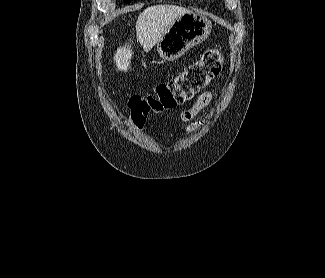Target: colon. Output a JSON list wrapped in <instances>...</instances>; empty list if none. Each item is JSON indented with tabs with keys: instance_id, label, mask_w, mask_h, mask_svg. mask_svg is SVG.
Instances as JSON below:
<instances>
[{
	"instance_id": "1",
	"label": "colon",
	"mask_w": 325,
	"mask_h": 278,
	"mask_svg": "<svg viewBox=\"0 0 325 278\" xmlns=\"http://www.w3.org/2000/svg\"><path fill=\"white\" fill-rule=\"evenodd\" d=\"M223 63L220 51L209 49L175 78L157 85L145 95L132 97L128 107L134 126H143L152 113L172 109L190 100L220 73Z\"/></svg>"
}]
</instances>
